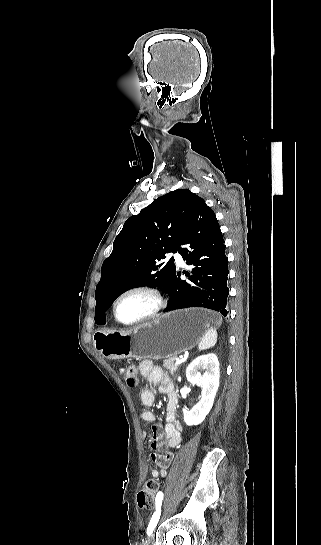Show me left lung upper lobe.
Returning <instances> with one entry per match:
<instances>
[{
  "instance_id": "obj_1",
  "label": "left lung upper lobe",
  "mask_w": 321,
  "mask_h": 545,
  "mask_svg": "<svg viewBox=\"0 0 321 545\" xmlns=\"http://www.w3.org/2000/svg\"><path fill=\"white\" fill-rule=\"evenodd\" d=\"M204 200L188 189H178L155 199L138 215L128 218L104 261L95 291L96 324H105L104 312L125 291L140 286L165 287L175 270L174 259L160 261L175 252Z\"/></svg>"
}]
</instances>
